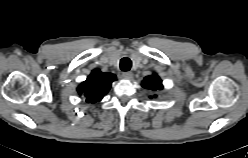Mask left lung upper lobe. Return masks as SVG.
<instances>
[{"instance_id":"left-lung-upper-lobe-1","label":"left lung upper lobe","mask_w":248,"mask_h":158,"mask_svg":"<svg viewBox=\"0 0 248 158\" xmlns=\"http://www.w3.org/2000/svg\"><path fill=\"white\" fill-rule=\"evenodd\" d=\"M142 87L156 91V90L162 89L163 85H162V81L160 80V78L156 74H154V75L147 76L144 78Z\"/></svg>"}]
</instances>
